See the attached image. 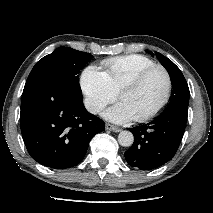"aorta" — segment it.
Segmentation results:
<instances>
[{
  "label": "aorta",
  "mask_w": 213,
  "mask_h": 213,
  "mask_svg": "<svg viewBox=\"0 0 213 213\" xmlns=\"http://www.w3.org/2000/svg\"><path fill=\"white\" fill-rule=\"evenodd\" d=\"M118 142L123 147H129L134 142V136L130 131H121L118 135Z\"/></svg>",
  "instance_id": "aorta-1"
}]
</instances>
